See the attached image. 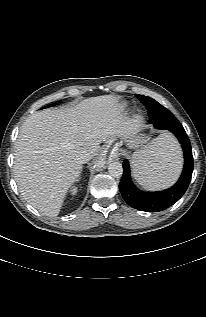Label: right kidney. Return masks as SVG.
<instances>
[{"label": "right kidney", "instance_id": "1", "mask_svg": "<svg viewBox=\"0 0 206 317\" xmlns=\"http://www.w3.org/2000/svg\"><path fill=\"white\" fill-rule=\"evenodd\" d=\"M71 192H72L73 195L76 194L77 188H73V189L71 190Z\"/></svg>", "mask_w": 206, "mask_h": 317}]
</instances>
